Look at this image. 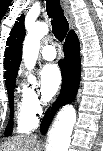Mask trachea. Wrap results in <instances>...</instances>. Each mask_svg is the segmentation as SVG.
Wrapping results in <instances>:
<instances>
[{"label": "trachea", "mask_w": 103, "mask_h": 151, "mask_svg": "<svg viewBox=\"0 0 103 151\" xmlns=\"http://www.w3.org/2000/svg\"><path fill=\"white\" fill-rule=\"evenodd\" d=\"M47 12L49 17L52 19V32L56 39L63 41L65 38L69 24L63 14V10L60 5V0H46Z\"/></svg>", "instance_id": "obj_1"}]
</instances>
